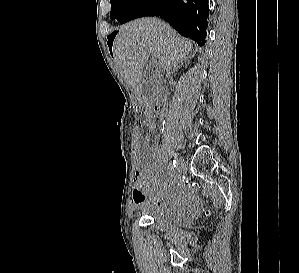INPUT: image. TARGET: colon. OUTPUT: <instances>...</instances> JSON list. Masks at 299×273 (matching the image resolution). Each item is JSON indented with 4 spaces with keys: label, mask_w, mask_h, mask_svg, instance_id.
Masks as SVG:
<instances>
[{
    "label": "colon",
    "mask_w": 299,
    "mask_h": 273,
    "mask_svg": "<svg viewBox=\"0 0 299 273\" xmlns=\"http://www.w3.org/2000/svg\"><path fill=\"white\" fill-rule=\"evenodd\" d=\"M139 143L143 149H148L151 147V139L147 135L140 137Z\"/></svg>",
    "instance_id": "colon-1"
}]
</instances>
